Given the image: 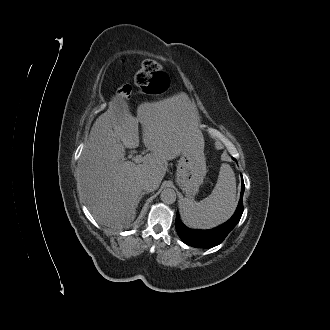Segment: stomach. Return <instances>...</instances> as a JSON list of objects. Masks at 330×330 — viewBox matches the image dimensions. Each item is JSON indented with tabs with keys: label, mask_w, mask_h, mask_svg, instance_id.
Here are the masks:
<instances>
[{
	"label": "stomach",
	"mask_w": 330,
	"mask_h": 330,
	"mask_svg": "<svg viewBox=\"0 0 330 330\" xmlns=\"http://www.w3.org/2000/svg\"><path fill=\"white\" fill-rule=\"evenodd\" d=\"M206 173L204 148H189L182 152L177 166L176 183L187 197L197 194Z\"/></svg>",
	"instance_id": "1"
}]
</instances>
